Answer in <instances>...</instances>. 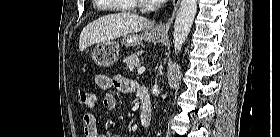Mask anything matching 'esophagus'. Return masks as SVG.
Masks as SVG:
<instances>
[{
	"instance_id": "34e87169",
	"label": "esophagus",
	"mask_w": 280,
	"mask_h": 137,
	"mask_svg": "<svg viewBox=\"0 0 280 137\" xmlns=\"http://www.w3.org/2000/svg\"><path fill=\"white\" fill-rule=\"evenodd\" d=\"M179 4H180V0H174L173 1V11H172V14L170 16V18L164 22V23H160V24H157L154 26V30L158 33H161V34H167L173 21H174V18L176 16V13H177V10H178V7H179Z\"/></svg>"
}]
</instances>
